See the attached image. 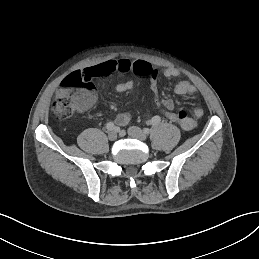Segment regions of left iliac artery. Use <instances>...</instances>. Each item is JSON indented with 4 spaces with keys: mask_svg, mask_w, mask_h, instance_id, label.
Here are the masks:
<instances>
[{
    "mask_svg": "<svg viewBox=\"0 0 259 259\" xmlns=\"http://www.w3.org/2000/svg\"><path fill=\"white\" fill-rule=\"evenodd\" d=\"M161 121V117L160 116H154L151 120H150V124L152 125H157L159 124ZM145 132H147V130H145Z\"/></svg>",
    "mask_w": 259,
    "mask_h": 259,
    "instance_id": "left-iliac-artery-1",
    "label": "left iliac artery"
}]
</instances>
